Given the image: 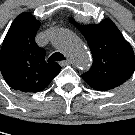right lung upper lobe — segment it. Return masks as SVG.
I'll use <instances>...</instances> for the list:
<instances>
[{"label": "right lung upper lobe", "mask_w": 135, "mask_h": 135, "mask_svg": "<svg viewBox=\"0 0 135 135\" xmlns=\"http://www.w3.org/2000/svg\"><path fill=\"white\" fill-rule=\"evenodd\" d=\"M40 22L29 12L10 26L0 51V71L6 83L21 92H39L57 76L61 67L45 61V50L35 42Z\"/></svg>", "instance_id": "obj_1"}]
</instances>
